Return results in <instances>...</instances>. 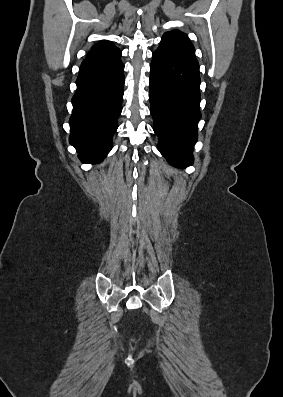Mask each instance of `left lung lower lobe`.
<instances>
[{
	"label": "left lung lower lobe",
	"instance_id": "obj_1",
	"mask_svg": "<svg viewBox=\"0 0 283 397\" xmlns=\"http://www.w3.org/2000/svg\"><path fill=\"white\" fill-rule=\"evenodd\" d=\"M149 86L158 150L175 167L192 165L201 118L199 65L160 43L152 54Z\"/></svg>",
	"mask_w": 283,
	"mask_h": 397
}]
</instances>
